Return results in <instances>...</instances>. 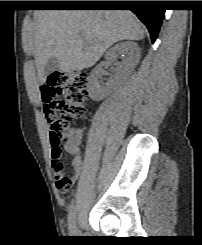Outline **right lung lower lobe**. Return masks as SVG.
<instances>
[{"mask_svg":"<svg viewBox=\"0 0 202 245\" xmlns=\"http://www.w3.org/2000/svg\"><path fill=\"white\" fill-rule=\"evenodd\" d=\"M79 6L82 7H131L137 17L146 25L149 30L152 43L155 42L165 10L157 1H80Z\"/></svg>","mask_w":202,"mask_h":245,"instance_id":"right-lung-lower-lobe-1","label":"right lung lower lobe"}]
</instances>
